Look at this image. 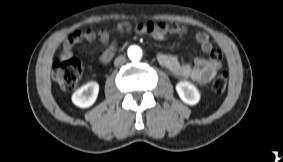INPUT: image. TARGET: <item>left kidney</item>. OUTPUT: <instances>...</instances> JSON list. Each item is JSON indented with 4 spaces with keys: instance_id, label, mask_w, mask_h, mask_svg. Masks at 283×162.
<instances>
[{
    "instance_id": "obj_1",
    "label": "left kidney",
    "mask_w": 283,
    "mask_h": 162,
    "mask_svg": "<svg viewBox=\"0 0 283 162\" xmlns=\"http://www.w3.org/2000/svg\"><path fill=\"white\" fill-rule=\"evenodd\" d=\"M176 91L181 100L188 105H195L200 100L198 89L188 81H181L176 84Z\"/></svg>"
}]
</instances>
